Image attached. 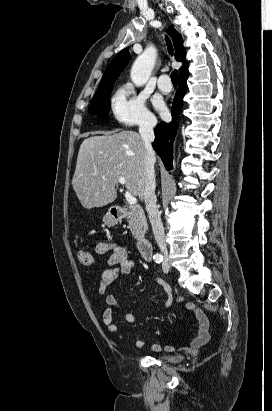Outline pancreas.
Listing matches in <instances>:
<instances>
[{"label": "pancreas", "mask_w": 272, "mask_h": 411, "mask_svg": "<svg viewBox=\"0 0 272 411\" xmlns=\"http://www.w3.org/2000/svg\"><path fill=\"white\" fill-rule=\"evenodd\" d=\"M127 221L134 238H143L148 229V224L143 209L140 206H129Z\"/></svg>", "instance_id": "1"}]
</instances>
